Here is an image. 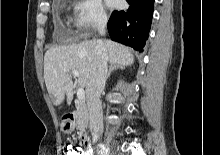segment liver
Listing matches in <instances>:
<instances>
[{
    "instance_id": "obj_1",
    "label": "liver",
    "mask_w": 220,
    "mask_h": 155,
    "mask_svg": "<svg viewBox=\"0 0 220 155\" xmlns=\"http://www.w3.org/2000/svg\"><path fill=\"white\" fill-rule=\"evenodd\" d=\"M98 44L105 46L111 64H133L134 56L129 48L111 40H86L78 44L50 48L44 56V80L49 96L56 106L60 105L65 97L67 104H71L73 70L79 73L78 84L87 88Z\"/></svg>"
}]
</instances>
